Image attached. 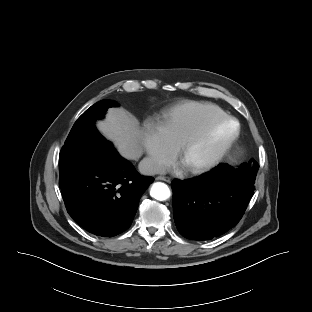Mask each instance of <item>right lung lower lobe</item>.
Instances as JSON below:
<instances>
[{
    "mask_svg": "<svg viewBox=\"0 0 312 312\" xmlns=\"http://www.w3.org/2000/svg\"><path fill=\"white\" fill-rule=\"evenodd\" d=\"M153 177L140 176L109 145L59 186L69 215L95 235L112 237L130 227L139 200Z\"/></svg>",
    "mask_w": 312,
    "mask_h": 312,
    "instance_id": "98d812e1",
    "label": "right lung lower lobe"
}]
</instances>
